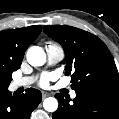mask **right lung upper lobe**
<instances>
[{
	"label": "right lung upper lobe",
	"mask_w": 119,
	"mask_h": 119,
	"mask_svg": "<svg viewBox=\"0 0 119 119\" xmlns=\"http://www.w3.org/2000/svg\"><path fill=\"white\" fill-rule=\"evenodd\" d=\"M41 25L0 32V76L20 68L24 53L41 32Z\"/></svg>",
	"instance_id": "obj_1"
}]
</instances>
